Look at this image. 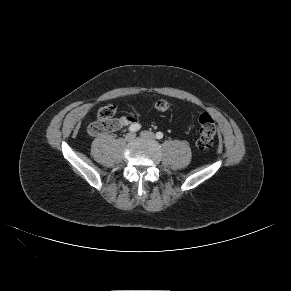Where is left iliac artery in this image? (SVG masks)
<instances>
[{"instance_id": "left-iliac-artery-1", "label": "left iliac artery", "mask_w": 291, "mask_h": 291, "mask_svg": "<svg viewBox=\"0 0 291 291\" xmlns=\"http://www.w3.org/2000/svg\"><path fill=\"white\" fill-rule=\"evenodd\" d=\"M156 138L157 139H162L163 138V133L162 132H157L156 133Z\"/></svg>"}]
</instances>
